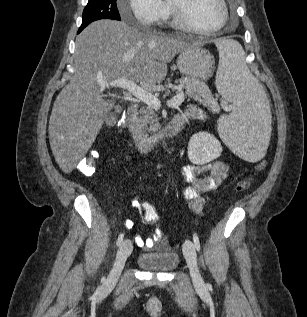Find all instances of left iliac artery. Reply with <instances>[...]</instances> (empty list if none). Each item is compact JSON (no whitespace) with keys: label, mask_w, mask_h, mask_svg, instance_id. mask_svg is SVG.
I'll list each match as a JSON object with an SVG mask.
<instances>
[{"label":"left iliac artery","mask_w":307,"mask_h":317,"mask_svg":"<svg viewBox=\"0 0 307 317\" xmlns=\"http://www.w3.org/2000/svg\"><path fill=\"white\" fill-rule=\"evenodd\" d=\"M193 241H194V244H195L197 251H200V242H199V238H198L196 233L193 234ZM207 287H210L209 283H207Z\"/></svg>","instance_id":"left-iliac-artery-1"}]
</instances>
